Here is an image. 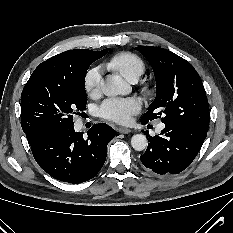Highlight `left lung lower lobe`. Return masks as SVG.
<instances>
[{
  "mask_svg": "<svg viewBox=\"0 0 233 233\" xmlns=\"http://www.w3.org/2000/svg\"><path fill=\"white\" fill-rule=\"evenodd\" d=\"M140 157L143 165L157 174H177L186 169L198 154L207 132L190 125H169L152 137Z\"/></svg>",
  "mask_w": 233,
  "mask_h": 233,
  "instance_id": "1",
  "label": "left lung lower lobe"
}]
</instances>
